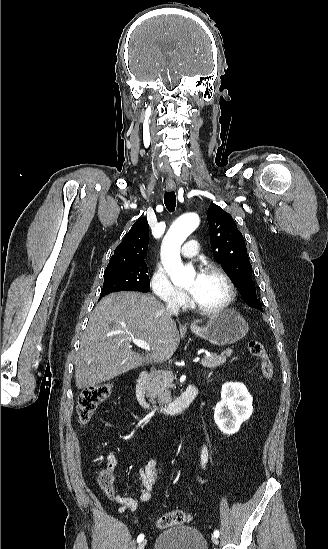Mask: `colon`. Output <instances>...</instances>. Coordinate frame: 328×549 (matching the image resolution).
<instances>
[{
  "label": "colon",
  "mask_w": 328,
  "mask_h": 549,
  "mask_svg": "<svg viewBox=\"0 0 328 549\" xmlns=\"http://www.w3.org/2000/svg\"><path fill=\"white\" fill-rule=\"evenodd\" d=\"M248 349L252 356L260 360L261 372L264 379L270 380L274 375V366L264 345L257 340H250L248 342ZM112 391L113 384L111 382H103L90 386L80 393L77 413L82 424H87L91 420L98 405L106 400ZM97 481L102 491L110 497L114 489L111 474L107 470H102L98 474ZM191 520L192 516L190 513L183 510H173L161 516L157 521V526L164 529L183 525L189 523Z\"/></svg>",
  "instance_id": "1"
}]
</instances>
